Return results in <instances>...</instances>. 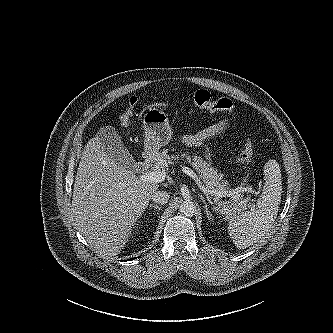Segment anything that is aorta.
Returning <instances> with one entry per match:
<instances>
[{"instance_id":"1","label":"aorta","mask_w":333,"mask_h":333,"mask_svg":"<svg viewBox=\"0 0 333 333\" xmlns=\"http://www.w3.org/2000/svg\"><path fill=\"white\" fill-rule=\"evenodd\" d=\"M179 212L184 216L191 217L195 214L196 207L193 202L186 200L180 204Z\"/></svg>"}]
</instances>
